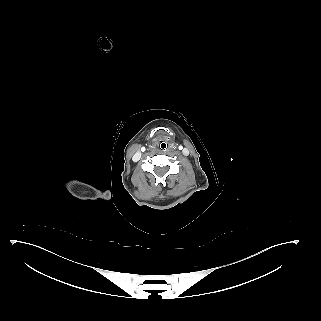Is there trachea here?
Instances as JSON below:
<instances>
[{
    "mask_svg": "<svg viewBox=\"0 0 321 321\" xmlns=\"http://www.w3.org/2000/svg\"><path fill=\"white\" fill-rule=\"evenodd\" d=\"M160 147H161V149H163V150H164V149H166V147H167V146H166V144H164V143H163V144H161V146H160Z\"/></svg>",
    "mask_w": 321,
    "mask_h": 321,
    "instance_id": "obj_1",
    "label": "trachea"
}]
</instances>
